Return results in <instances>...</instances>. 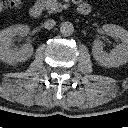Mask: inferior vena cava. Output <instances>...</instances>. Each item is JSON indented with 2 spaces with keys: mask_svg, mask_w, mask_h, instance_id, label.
<instances>
[{
  "mask_svg": "<svg viewBox=\"0 0 128 128\" xmlns=\"http://www.w3.org/2000/svg\"><path fill=\"white\" fill-rule=\"evenodd\" d=\"M56 22L53 19H48L44 23V27L48 30L52 29L55 26Z\"/></svg>",
  "mask_w": 128,
  "mask_h": 128,
  "instance_id": "1",
  "label": "inferior vena cava"
}]
</instances>
